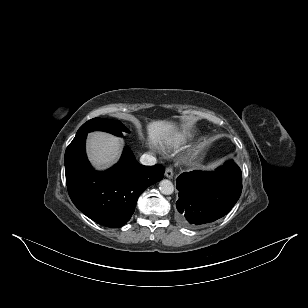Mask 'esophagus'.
I'll return each instance as SVG.
<instances>
[{
  "mask_svg": "<svg viewBox=\"0 0 308 308\" xmlns=\"http://www.w3.org/2000/svg\"><path fill=\"white\" fill-rule=\"evenodd\" d=\"M173 168L172 167H167L166 169H165V176L167 177V178H172L173 177Z\"/></svg>",
  "mask_w": 308,
  "mask_h": 308,
  "instance_id": "34e87169",
  "label": "esophagus"
}]
</instances>
